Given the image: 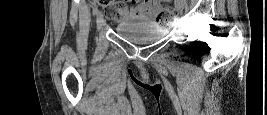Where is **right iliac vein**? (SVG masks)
Wrapping results in <instances>:
<instances>
[{"mask_svg": "<svg viewBox=\"0 0 267 115\" xmlns=\"http://www.w3.org/2000/svg\"><path fill=\"white\" fill-rule=\"evenodd\" d=\"M96 22H97V29L100 30L102 27V23H103V13L102 12L98 13Z\"/></svg>", "mask_w": 267, "mask_h": 115, "instance_id": "1", "label": "right iliac vein"}]
</instances>
